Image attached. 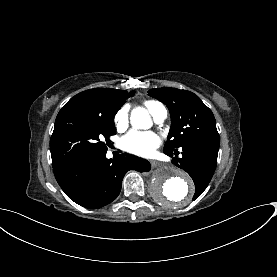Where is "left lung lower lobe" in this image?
Listing matches in <instances>:
<instances>
[{"instance_id":"left-lung-lower-lobe-1","label":"left lung lower lobe","mask_w":277,"mask_h":277,"mask_svg":"<svg viewBox=\"0 0 277 277\" xmlns=\"http://www.w3.org/2000/svg\"><path fill=\"white\" fill-rule=\"evenodd\" d=\"M220 140L218 137H203L182 145L180 158L178 148L164 152L173 157L172 162L182 167L193 179L195 184V195L197 198L210 182L217 164V156Z\"/></svg>"}]
</instances>
